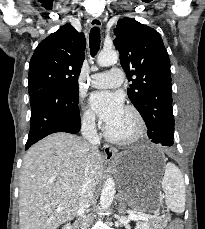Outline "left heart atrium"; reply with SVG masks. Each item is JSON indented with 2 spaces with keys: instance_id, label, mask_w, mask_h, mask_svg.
<instances>
[{
  "instance_id": "obj_1",
  "label": "left heart atrium",
  "mask_w": 205,
  "mask_h": 229,
  "mask_svg": "<svg viewBox=\"0 0 205 229\" xmlns=\"http://www.w3.org/2000/svg\"><path fill=\"white\" fill-rule=\"evenodd\" d=\"M89 103L106 126L118 120L124 112L123 97L116 92H95L90 96Z\"/></svg>"
}]
</instances>
